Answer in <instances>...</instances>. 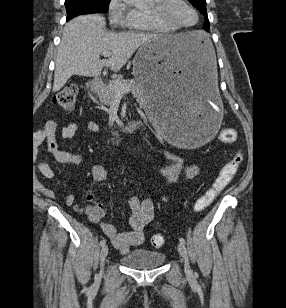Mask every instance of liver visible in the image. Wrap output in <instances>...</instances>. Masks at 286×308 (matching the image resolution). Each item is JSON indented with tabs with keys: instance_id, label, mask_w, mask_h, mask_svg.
<instances>
[{
	"instance_id": "6515ba94",
	"label": "liver",
	"mask_w": 286,
	"mask_h": 308,
	"mask_svg": "<svg viewBox=\"0 0 286 308\" xmlns=\"http://www.w3.org/2000/svg\"><path fill=\"white\" fill-rule=\"evenodd\" d=\"M166 36L181 51L197 46L204 32L161 35L143 32L109 33L105 18L100 15H81L66 23L56 56L53 92L59 91L72 75L98 77L104 66L119 71L144 43ZM103 51L111 52L101 60ZM212 50H210V54Z\"/></svg>"
}]
</instances>
